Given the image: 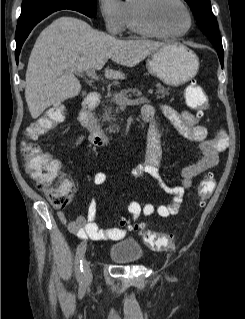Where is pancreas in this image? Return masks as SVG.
Returning a JSON list of instances; mask_svg holds the SVG:
<instances>
[{
  "label": "pancreas",
  "mask_w": 245,
  "mask_h": 319,
  "mask_svg": "<svg viewBox=\"0 0 245 319\" xmlns=\"http://www.w3.org/2000/svg\"><path fill=\"white\" fill-rule=\"evenodd\" d=\"M156 88L155 94L157 95V98L162 99L166 95H169V88L164 87L160 83L156 84ZM138 93V88H127L121 90L120 93H115L112 97L107 96L105 104H103V113L101 115V119L102 122L110 124L106 129L109 133H116L120 129L119 125L117 124L118 121L115 118V113H117L119 109L115 96L119 94L128 98L132 97L133 95H138Z\"/></svg>",
  "instance_id": "obj_1"
}]
</instances>
